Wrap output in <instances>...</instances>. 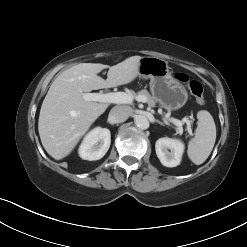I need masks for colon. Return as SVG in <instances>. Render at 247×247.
I'll use <instances>...</instances> for the list:
<instances>
[{
	"mask_svg": "<svg viewBox=\"0 0 247 247\" xmlns=\"http://www.w3.org/2000/svg\"><path fill=\"white\" fill-rule=\"evenodd\" d=\"M176 78L186 85L198 104L202 105L204 103V88L199 81L190 79L189 76L183 73L177 74Z\"/></svg>",
	"mask_w": 247,
	"mask_h": 247,
	"instance_id": "1",
	"label": "colon"
}]
</instances>
